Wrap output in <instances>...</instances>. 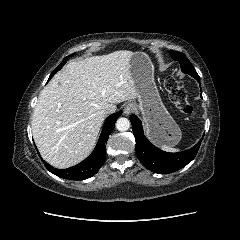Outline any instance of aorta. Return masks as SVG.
I'll use <instances>...</instances> for the list:
<instances>
[{"mask_svg":"<svg viewBox=\"0 0 240 240\" xmlns=\"http://www.w3.org/2000/svg\"><path fill=\"white\" fill-rule=\"evenodd\" d=\"M130 121L127 118H119L116 121V129L118 131H127L130 128Z\"/></svg>","mask_w":240,"mask_h":240,"instance_id":"762f6f07","label":"aorta"}]
</instances>
